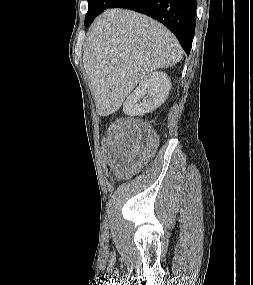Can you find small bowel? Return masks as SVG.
Instances as JSON below:
<instances>
[{
  "label": "small bowel",
  "instance_id": "1",
  "mask_svg": "<svg viewBox=\"0 0 253 285\" xmlns=\"http://www.w3.org/2000/svg\"><path fill=\"white\" fill-rule=\"evenodd\" d=\"M132 151H133V145L129 142L118 146V152L121 153L122 155L127 156L131 154Z\"/></svg>",
  "mask_w": 253,
  "mask_h": 285
}]
</instances>
